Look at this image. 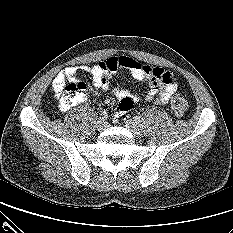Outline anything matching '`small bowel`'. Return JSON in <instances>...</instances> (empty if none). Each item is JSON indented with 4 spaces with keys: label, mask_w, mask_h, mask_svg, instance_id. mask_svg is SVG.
<instances>
[{
    "label": "small bowel",
    "mask_w": 233,
    "mask_h": 233,
    "mask_svg": "<svg viewBox=\"0 0 233 233\" xmlns=\"http://www.w3.org/2000/svg\"><path fill=\"white\" fill-rule=\"evenodd\" d=\"M119 69H127L135 80L147 83L146 99L154 101L158 105H166L178 87V77L172 72L160 67L140 64L128 56H115L100 61L92 67L69 66L62 69L55 76L52 82V89L56 96L60 97L67 82L79 83V72L89 73L95 87L107 89L110 86L113 75ZM115 96L118 100V105L114 110L116 117L129 112L141 101L139 93L118 86L115 87ZM84 100L85 98L81 102Z\"/></svg>",
    "instance_id": "1"
}]
</instances>
